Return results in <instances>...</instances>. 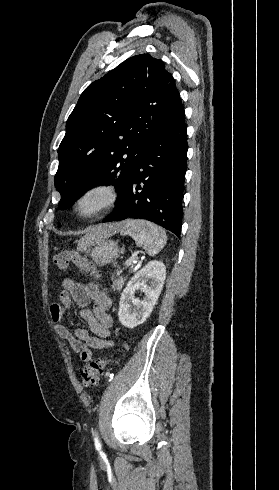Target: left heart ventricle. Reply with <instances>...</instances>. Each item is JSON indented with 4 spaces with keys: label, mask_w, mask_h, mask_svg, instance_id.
I'll use <instances>...</instances> for the list:
<instances>
[{
    "label": "left heart ventricle",
    "mask_w": 279,
    "mask_h": 490,
    "mask_svg": "<svg viewBox=\"0 0 279 490\" xmlns=\"http://www.w3.org/2000/svg\"><path fill=\"white\" fill-rule=\"evenodd\" d=\"M94 200H95V197H93V196H92V197H90V198L88 199V201H87V205L92 204V202H93Z\"/></svg>",
    "instance_id": "left-heart-ventricle-1"
}]
</instances>
